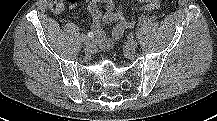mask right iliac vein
Here are the masks:
<instances>
[{"instance_id":"right-iliac-vein-1","label":"right iliac vein","mask_w":217,"mask_h":121,"mask_svg":"<svg viewBox=\"0 0 217 121\" xmlns=\"http://www.w3.org/2000/svg\"><path fill=\"white\" fill-rule=\"evenodd\" d=\"M84 51H85V53H87V54H91V53H93V51H94V46H93L92 44H86V45L84 46Z\"/></svg>"}]
</instances>
